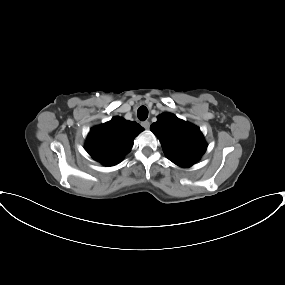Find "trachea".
<instances>
[{"instance_id":"obj_1","label":"trachea","mask_w":285,"mask_h":285,"mask_svg":"<svg viewBox=\"0 0 285 285\" xmlns=\"http://www.w3.org/2000/svg\"><path fill=\"white\" fill-rule=\"evenodd\" d=\"M138 118L141 120V121H144L147 119L148 117V110L145 106H141L138 108Z\"/></svg>"}]
</instances>
